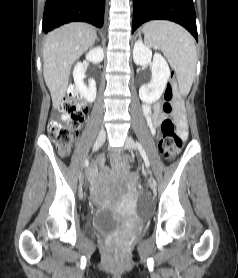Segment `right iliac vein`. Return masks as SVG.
<instances>
[{
  "mask_svg": "<svg viewBox=\"0 0 238 278\" xmlns=\"http://www.w3.org/2000/svg\"><path fill=\"white\" fill-rule=\"evenodd\" d=\"M105 139H106V132L104 129H101L94 143L93 150L94 151L98 150L105 142ZM80 174H83V171H80ZM82 178L83 175H78L77 184H81Z\"/></svg>",
  "mask_w": 238,
  "mask_h": 278,
  "instance_id": "right-iliac-vein-1",
  "label": "right iliac vein"
}]
</instances>
